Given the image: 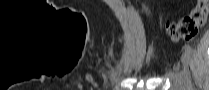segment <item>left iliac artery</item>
I'll return each mask as SVG.
<instances>
[{
  "mask_svg": "<svg viewBox=\"0 0 209 90\" xmlns=\"http://www.w3.org/2000/svg\"><path fill=\"white\" fill-rule=\"evenodd\" d=\"M184 50H185V52H186L189 56H191V55L193 54V49H192V47H191L190 45H188V44H185V45H184Z\"/></svg>",
  "mask_w": 209,
  "mask_h": 90,
  "instance_id": "1",
  "label": "left iliac artery"
}]
</instances>
